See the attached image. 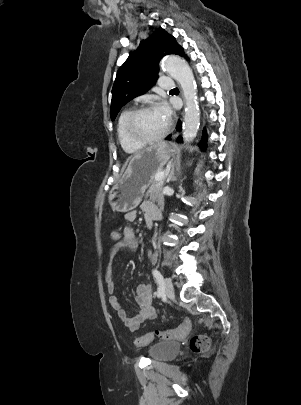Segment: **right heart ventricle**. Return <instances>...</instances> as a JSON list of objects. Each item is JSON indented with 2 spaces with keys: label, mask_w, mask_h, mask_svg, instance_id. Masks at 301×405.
<instances>
[{
  "label": "right heart ventricle",
  "mask_w": 301,
  "mask_h": 405,
  "mask_svg": "<svg viewBox=\"0 0 301 405\" xmlns=\"http://www.w3.org/2000/svg\"><path fill=\"white\" fill-rule=\"evenodd\" d=\"M130 110H124L119 118H118V122H117V138L118 141L122 147V149L128 153V154H133L136 153L138 151H140L142 149V145L136 144L134 142H132L125 131V124H126V120L128 115L130 114Z\"/></svg>",
  "instance_id": "e07e8e85"
}]
</instances>
